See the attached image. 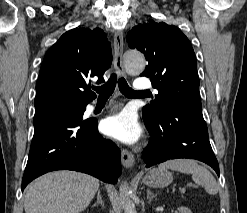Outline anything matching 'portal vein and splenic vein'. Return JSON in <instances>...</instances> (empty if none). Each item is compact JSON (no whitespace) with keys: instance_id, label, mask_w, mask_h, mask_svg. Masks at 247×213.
Wrapping results in <instances>:
<instances>
[{"instance_id":"1","label":"portal vein and splenic vein","mask_w":247,"mask_h":213,"mask_svg":"<svg viewBox=\"0 0 247 213\" xmlns=\"http://www.w3.org/2000/svg\"><path fill=\"white\" fill-rule=\"evenodd\" d=\"M185 191H186L185 188L180 189V192H181L182 194H184Z\"/></svg>"}]
</instances>
